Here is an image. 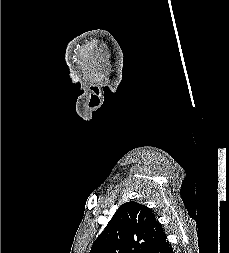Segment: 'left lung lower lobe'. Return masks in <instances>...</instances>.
Masks as SVG:
<instances>
[{
  "label": "left lung lower lobe",
  "mask_w": 229,
  "mask_h": 253,
  "mask_svg": "<svg viewBox=\"0 0 229 253\" xmlns=\"http://www.w3.org/2000/svg\"><path fill=\"white\" fill-rule=\"evenodd\" d=\"M155 253H173L172 246L167 240V237L162 240V242L157 247Z\"/></svg>",
  "instance_id": "left-lung-lower-lobe-1"
}]
</instances>
